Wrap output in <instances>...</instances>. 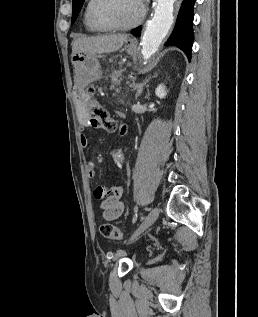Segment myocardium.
Wrapping results in <instances>:
<instances>
[{
    "instance_id": "myocardium-1",
    "label": "myocardium",
    "mask_w": 258,
    "mask_h": 317,
    "mask_svg": "<svg viewBox=\"0 0 258 317\" xmlns=\"http://www.w3.org/2000/svg\"><path fill=\"white\" fill-rule=\"evenodd\" d=\"M104 1H108V0H94L90 6V10H89V18L91 20V22L99 29L101 30H105V31H117V32H124V31H132L134 29H136L142 22V20L144 19L145 16V8L144 5L142 4V2L140 0H131L133 1L139 10L138 13V17L137 20L135 21V23L132 26L129 27H118V26H112V25H106L104 23H102L101 21H99L96 16H95V8L102 2Z\"/></svg>"
}]
</instances>
